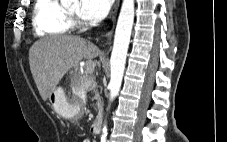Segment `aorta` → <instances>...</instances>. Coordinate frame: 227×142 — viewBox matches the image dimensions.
Wrapping results in <instances>:
<instances>
[{
  "mask_svg": "<svg viewBox=\"0 0 227 142\" xmlns=\"http://www.w3.org/2000/svg\"><path fill=\"white\" fill-rule=\"evenodd\" d=\"M74 0H61L63 4L71 3ZM134 22V0H123L118 22L115 31L113 50L110 59V101L118 95L127 57V51L130 43V36ZM107 127L102 129L101 142H106Z\"/></svg>",
  "mask_w": 227,
  "mask_h": 142,
  "instance_id": "762f6f07",
  "label": "aorta"
}]
</instances>
